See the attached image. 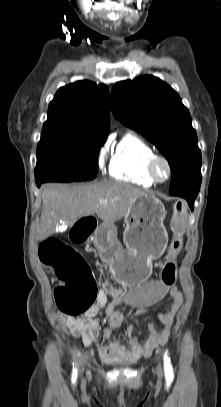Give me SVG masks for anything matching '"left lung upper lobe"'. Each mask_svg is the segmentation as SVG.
I'll return each mask as SVG.
<instances>
[{
    "instance_id": "obj_1",
    "label": "left lung upper lobe",
    "mask_w": 221,
    "mask_h": 407,
    "mask_svg": "<svg viewBox=\"0 0 221 407\" xmlns=\"http://www.w3.org/2000/svg\"><path fill=\"white\" fill-rule=\"evenodd\" d=\"M116 119L157 146L171 168L169 192L201 177V151L188 109L168 84L151 75L118 82L112 89Z\"/></svg>"
}]
</instances>
